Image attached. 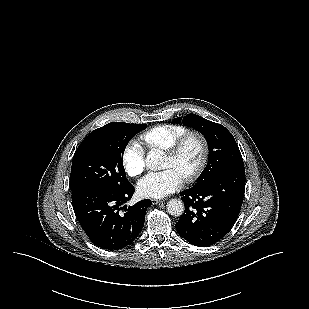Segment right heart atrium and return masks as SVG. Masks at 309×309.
Listing matches in <instances>:
<instances>
[{"label":"right heart atrium","instance_id":"1","mask_svg":"<svg viewBox=\"0 0 309 309\" xmlns=\"http://www.w3.org/2000/svg\"><path fill=\"white\" fill-rule=\"evenodd\" d=\"M122 163L127 174L132 177L141 175L145 170V150L135 140L130 141L122 153Z\"/></svg>","mask_w":309,"mask_h":309}]
</instances>
